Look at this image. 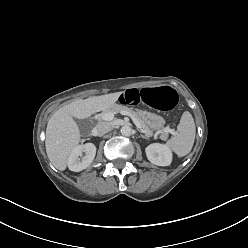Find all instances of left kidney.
<instances>
[{"instance_id":"obj_1","label":"left kidney","mask_w":248,"mask_h":248,"mask_svg":"<svg viewBox=\"0 0 248 248\" xmlns=\"http://www.w3.org/2000/svg\"><path fill=\"white\" fill-rule=\"evenodd\" d=\"M145 151L151 163L158 166H168L171 164L172 153L166 145L159 143L150 144Z\"/></svg>"}]
</instances>
